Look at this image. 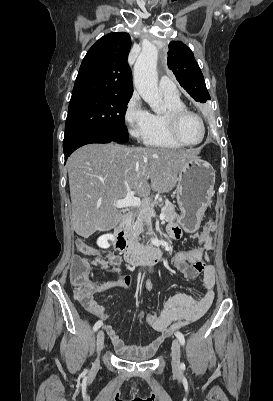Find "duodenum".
I'll return each mask as SVG.
<instances>
[{
    "label": "duodenum",
    "instance_id": "duodenum-1",
    "mask_svg": "<svg viewBox=\"0 0 273 401\" xmlns=\"http://www.w3.org/2000/svg\"><path fill=\"white\" fill-rule=\"evenodd\" d=\"M131 219V214H127L117 226L115 236L116 249L120 251L126 262L134 266L159 260L165 249L164 241H160L152 246H141L132 241L128 236Z\"/></svg>",
    "mask_w": 273,
    "mask_h": 401
}]
</instances>
